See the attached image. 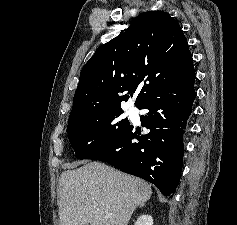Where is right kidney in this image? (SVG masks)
Returning <instances> with one entry per match:
<instances>
[{
  "label": "right kidney",
  "instance_id": "right-kidney-1",
  "mask_svg": "<svg viewBox=\"0 0 237 225\" xmlns=\"http://www.w3.org/2000/svg\"><path fill=\"white\" fill-rule=\"evenodd\" d=\"M134 225H153V218L150 215L140 216Z\"/></svg>",
  "mask_w": 237,
  "mask_h": 225
}]
</instances>
